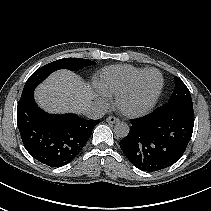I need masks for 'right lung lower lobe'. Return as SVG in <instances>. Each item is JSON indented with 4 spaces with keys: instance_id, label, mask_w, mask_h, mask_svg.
Here are the masks:
<instances>
[{
    "instance_id": "1",
    "label": "right lung lower lobe",
    "mask_w": 211,
    "mask_h": 211,
    "mask_svg": "<svg viewBox=\"0 0 211 211\" xmlns=\"http://www.w3.org/2000/svg\"><path fill=\"white\" fill-rule=\"evenodd\" d=\"M33 94L34 91L21 96L17 106L24 147L47 166L66 165L85 146L100 120H85L75 114H48L37 106Z\"/></svg>"
}]
</instances>
